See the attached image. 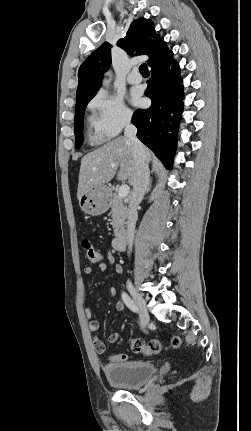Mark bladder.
<instances>
[{
    "label": "bladder",
    "instance_id": "1",
    "mask_svg": "<svg viewBox=\"0 0 251 431\" xmlns=\"http://www.w3.org/2000/svg\"><path fill=\"white\" fill-rule=\"evenodd\" d=\"M103 372L112 386L132 390L147 383L156 373V367L149 361H120L104 365Z\"/></svg>",
    "mask_w": 251,
    "mask_h": 431
}]
</instances>
